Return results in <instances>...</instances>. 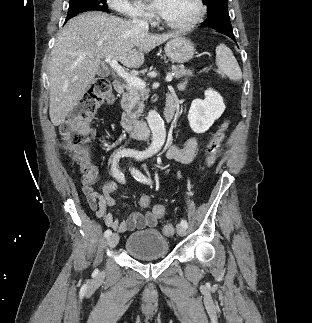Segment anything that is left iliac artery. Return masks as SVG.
I'll list each match as a JSON object with an SVG mask.
<instances>
[{
	"mask_svg": "<svg viewBox=\"0 0 312 323\" xmlns=\"http://www.w3.org/2000/svg\"><path fill=\"white\" fill-rule=\"evenodd\" d=\"M133 175H134V178L137 180V181H140V182H143V183H150V180L147 179L141 172L137 171V170H133ZM181 225L185 228L188 227V223L186 220H182L181 221Z\"/></svg>",
	"mask_w": 312,
	"mask_h": 323,
	"instance_id": "44dca946",
	"label": "left iliac artery"
}]
</instances>
